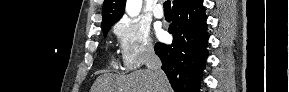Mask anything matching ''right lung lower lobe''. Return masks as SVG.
Segmentation results:
<instances>
[{
  "label": "right lung lower lobe",
  "mask_w": 289,
  "mask_h": 92,
  "mask_svg": "<svg viewBox=\"0 0 289 92\" xmlns=\"http://www.w3.org/2000/svg\"><path fill=\"white\" fill-rule=\"evenodd\" d=\"M172 13L169 33L173 42L156 43L155 52L175 92H199L209 38L203 0L172 9Z\"/></svg>",
  "instance_id": "obj_1"
}]
</instances>
